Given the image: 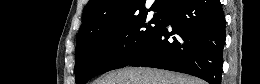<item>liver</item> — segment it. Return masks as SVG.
<instances>
[{
  "mask_svg": "<svg viewBox=\"0 0 260 84\" xmlns=\"http://www.w3.org/2000/svg\"><path fill=\"white\" fill-rule=\"evenodd\" d=\"M95 84H205L193 76L153 69L126 67L113 71Z\"/></svg>",
  "mask_w": 260,
  "mask_h": 84,
  "instance_id": "1",
  "label": "liver"
}]
</instances>
